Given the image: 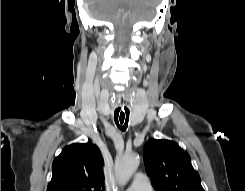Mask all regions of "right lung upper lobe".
<instances>
[{
  "mask_svg": "<svg viewBox=\"0 0 245 191\" xmlns=\"http://www.w3.org/2000/svg\"><path fill=\"white\" fill-rule=\"evenodd\" d=\"M47 191H104L103 160L91 143L65 147L52 164Z\"/></svg>",
  "mask_w": 245,
  "mask_h": 191,
  "instance_id": "right-lung-upper-lobe-1",
  "label": "right lung upper lobe"
}]
</instances>
